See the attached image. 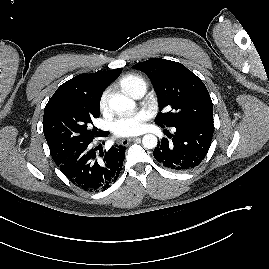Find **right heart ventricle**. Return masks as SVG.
I'll use <instances>...</instances> for the list:
<instances>
[{"mask_svg":"<svg viewBox=\"0 0 269 269\" xmlns=\"http://www.w3.org/2000/svg\"><path fill=\"white\" fill-rule=\"evenodd\" d=\"M118 85L121 88V90L129 96H133L136 89L139 88L140 86L146 87L144 79L141 76L133 73L123 76L119 80Z\"/></svg>","mask_w":269,"mask_h":269,"instance_id":"right-heart-ventricle-1","label":"right heart ventricle"}]
</instances>
